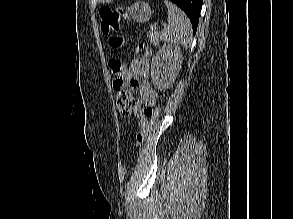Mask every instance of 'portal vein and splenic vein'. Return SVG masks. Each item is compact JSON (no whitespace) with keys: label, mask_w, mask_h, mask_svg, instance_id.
I'll use <instances>...</instances> for the list:
<instances>
[{"label":"portal vein and splenic vein","mask_w":293,"mask_h":219,"mask_svg":"<svg viewBox=\"0 0 293 219\" xmlns=\"http://www.w3.org/2000/svg\"><path fill=\"white\" fill-rule=\"evenodd\" d=\"M164 26H165V24H163ZM151 30H154V31H156L157 29H158V27H157V25L156 24H154V25H151Z\"/></svg>","instance_id":"portal-vein-and-splenic-vein-1"}]
</instances>
